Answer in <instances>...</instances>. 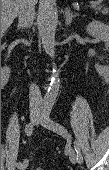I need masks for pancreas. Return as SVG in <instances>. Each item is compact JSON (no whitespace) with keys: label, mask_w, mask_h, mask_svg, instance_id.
Returning <instances> with one entry per match:
<instances>
[{"label":"pancreas","mask_w":109,"mask_h":170,"mask_svg":"<svg viewBox=\"0 0 109 170\" xmlns=\"http://www.w3.org/2000/svg\"><path fill=\"white\" fill-rule=\"evenodd\" d=\"M96 9L98 11H100L104 15H107L109 13V8L108 7L98 6Z\"/></svg>","instance_id":"1"}]
</instances>
